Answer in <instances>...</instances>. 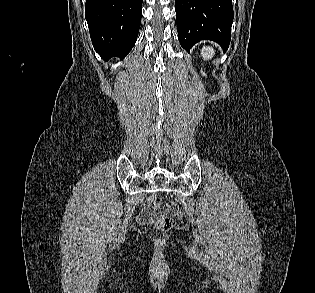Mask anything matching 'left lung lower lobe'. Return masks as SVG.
I'll return each instance as SVG.
<instances>
[{
	"label": "left lung lower lobe",
	"mask_w": 315,
	"mask_h": 293,
	"mask_svg": "<svg viewBox=\"0 0 315 293\" xmlns=\"http://www.w3.org/2000/svg\"><path fill=\"white\" fill-rule=\"evenodd\" d=\"M178 39L189 51L200 40H213L223 50L231 39V0H175Z\"/></svg>",
	"instance_id": "1"
}]
</instances>
